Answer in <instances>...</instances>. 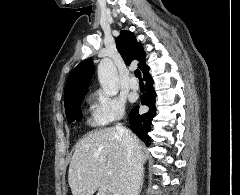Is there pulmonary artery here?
Returning a JSON list of instances; mask_svg holds the SVG:
<instances>
[{
    "mask_svg": "<svg viewBox=\"0 0 240 195\" xmlns=\"http://www.w3.org/2000/svg\"><path fill=\"white\" fill-rule=\"evenodd\" d=\"M129 85H130L131 89H133V90L140 89V84L138 83V81L136 79H131L129 82Z\"/></svg>",
    "mask_w": 240,
    "mask_h": 195,
    "instance_id": "1",
    "label": "pulmonary artery"
}]
</instances>
